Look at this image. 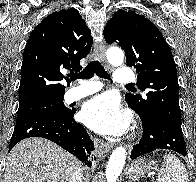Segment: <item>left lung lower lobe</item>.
<instances>
[{"label":"left lung lower lobe","instance_id":"0a47b994","mask_svg":"<svg viewBox=\"0 0 196 182\" xmlns=\"http://www.w3.org/2000/svg\"><path fill=\"white\" fill-rule=\"evenodd\" d=\"M139 117L143 125V136L139 144L133 147L131 159L157 149H169L186 156L181 126L157 114Z\"/></svg>","mask_w":196,"mask_h":182}]
</instances>
